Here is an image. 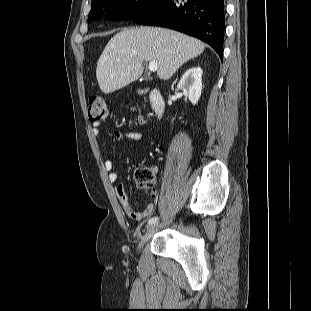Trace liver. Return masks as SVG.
<instances>
[{"label":"liver","instance_id":"liver-1","mask_svg":"<svg viewBox=\"0 0 311 311\" xmlns=\"http://www.w3.org/2000/svg\"><path fill=\"white\" fill-rule=\"evenodd\" d=\"M204 49L200 40L170 29H123L110 39L97 62L98 85L105 94L129 85L142 75L144 61L157 63V76L167 80Z\"/></svg>","mask_w":311,"mask_h":311}]
</instances>
